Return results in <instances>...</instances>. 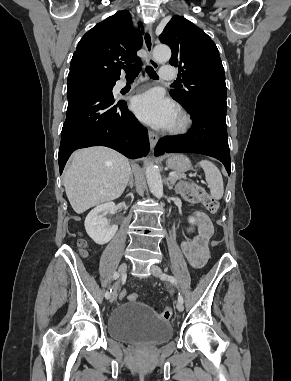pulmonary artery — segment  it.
<instances>
[{
  "label": "pulmonary artery",
  "mask_w": 291,
  "mask_h": 381,
  "mask_svg": "<svg viewBox=\"0 0 291 381\" xmlns=\"http://www.w3.org/2000/svg\"><path fill=\"white\" fill-rule=\"evenodd\" d=\"M161 79L166 81H172L176 79L177 71L174 66L172 65H164L162 66L160 70ZM126 86V83L124 81H120L118 83V88H124Z\"/></svg>",
  "instance_id": "pulmonary-artery-1"
}]
</instances>
